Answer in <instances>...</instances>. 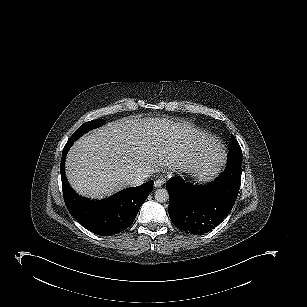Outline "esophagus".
Wrapping results in <instances>:
<instances>
[{"instance_id":"esophagus-1","label":"esophagus","mask_w":307,"mask_h":307,"mask_svg":"<svg viewBox=\"0 0 307 307\" xmlns=\"http://www.w3.org/2000/svg\"><path fill=\"white\" fill-rule=\"evenodd\" d=\"M165 183V179L164 178H158L155 183H154V187L155 188H159L161 187L163 184Z\"/></svg>"}]
</instances>
